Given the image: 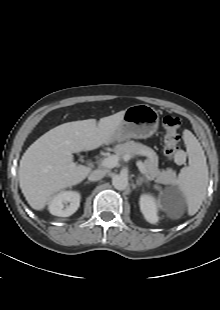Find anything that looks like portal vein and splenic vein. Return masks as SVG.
<instances>
[{"label":"portal vein and splenic vein","instance_id":"portal-vein-and-splenic-vein-1","mask_svg":"<svg viewBox=\"0 0 220 310\" xmlns=\"http://www.w3.org/2000/svg\"><path fill=\"white\" fill-rule=\"evenodd\" d=\"M118 161H119V157L117 155H112V156H109L101 160V165L106 168H114L118 164ZM137 167L139 171L141 172V174L147 176L145 167L141 161L137 162Z\"/></svg>","mask_w":220,"mask_h":310}]
</instances>
